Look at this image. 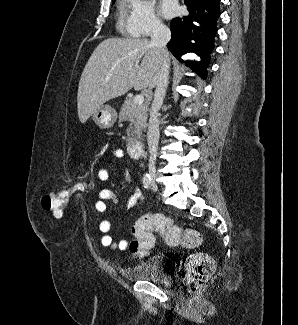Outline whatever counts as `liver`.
Returning a JSON list of instances; mask_svg holds the SVG:
<instances>
[{
  "instance_id": "1",
  "label": "liver",
  "mask_w": 298,
  "mask_h": 325,
  "mask_svg": "<svg viewBox=\"0 0 298 325\" xmlns=\"http://www.w3.org/2000/svg\"><path fill=\"white\" fill-rule=\"evenodd\" d=\"M160 66L158 50L150 46L149 38L102 40L80 76L77 92L80 122H86L96 108L111 98L122 96L133 86L154 88Z\"/></svg>"
}]
</instances>
